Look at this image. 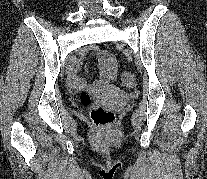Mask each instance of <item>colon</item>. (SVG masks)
Instances as JSON below:
<instances>
[{
  "label": "colon",
  "mask_w": 207,
  "mask_h": 179,
  "mask_svg": "<svg viewBox=\"0 0 207 179\" xmlns=\"http://www.w3.org/2000/svg\"><path fill=\"white\" fill-rule=\"evenodd\" d=\"M121 82L123 87L129 88L133 84V73L126 71L122 74ZM79 101L82 106L90 107L92 105V98L86 91L79 94ZM92 121L98 126H111L115 121L114 112L103 106H96L90 112Z\"/></svg>",
  "instance_id": "obj_1"
}]
</instances>
